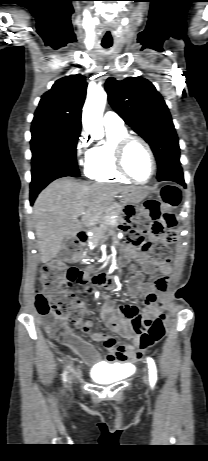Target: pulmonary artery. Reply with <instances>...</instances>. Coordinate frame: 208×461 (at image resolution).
I'll use <instances>...</instances> for the list:
<instances>
[{
	"mask_svg": "<svg viewBox=\"0 0 208 461\" xmlns=\"http://www.w3.org/2000/svg\"><path fill=\"white\" fill-rule=\"evenodd\" d=\"M103 124L109 128H120L123 127V120L117 113L108 111L103 117Z\"/></svg>",
	"mask_w": 208,
	"mask_h": 461,
	"instance_id": "pulmonary-artery-1",
	"label": "pulmonary artery"
}]
</instances>
